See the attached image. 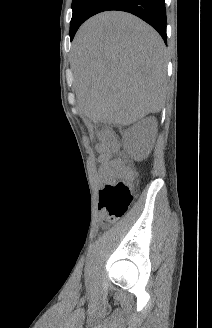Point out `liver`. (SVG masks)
Segmentation results:
<instances>
[{
    "instance_id": "6515ba94",
    "label": "liver",
    "mask_w": 212,
    "mask_h": 328,
    "mask_svg": "<svg viewBox=\"0 0 212 328\" xmlns=\"http://www.w3.org/2000/svg\"><path fill=\"white\" fill-rule=\"evenodd\" d=\"M72 69L78 108L94 123L127 126L163 108L165 45L129 13L87 20L74 38Z\"/></svg>"
}]
</instances>
